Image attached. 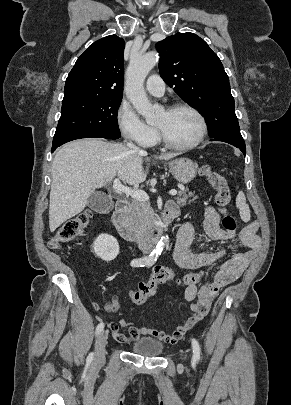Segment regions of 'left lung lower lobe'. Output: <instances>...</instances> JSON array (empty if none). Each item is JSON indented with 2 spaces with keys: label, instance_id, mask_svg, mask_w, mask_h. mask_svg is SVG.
Masks as SVG:
<instances>
[{
  "label": "left lung lower lobe",
  "instance_id": "obj_1",
  "mask_svg": "<svg viewBox=\"0 0 291 405\" xmlns=\"http://www.w3.org/2000/svg\"><path fill=\"white\" fill-rule=\"evenodd\" d=\"M211 141H223L234 145L235 147L239 148L244 156L246 155V146L242 136H235V135H221L215 138H212Z\"/></svg>",
  "mask_w": 291,
  "mask_h": 405
}]
</instances>
